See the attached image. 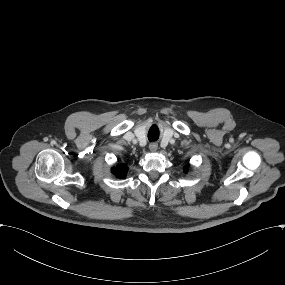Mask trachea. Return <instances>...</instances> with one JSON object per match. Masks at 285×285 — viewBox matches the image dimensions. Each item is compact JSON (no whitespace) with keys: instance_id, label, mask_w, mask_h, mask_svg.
Here are the masks:
<instances>
[{"instance_id":"1","label":"trachea","mask_w":285,"mask_h":285,"mask_svg":"<svg viewBox=\"0 0 285 285\" xmlns=\"http://www.w3.org/2000/svg\"><path fill=\"white\" fill-rule=\"evenodd\" d=\"M159 138V132L153 127L148 132V139L150 142H155Z\"/></svg>"}]
</instances>
